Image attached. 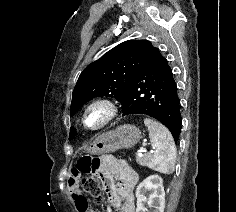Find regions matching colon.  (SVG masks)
<instances>
[{"instance_id": "colon-1", "label": "colon", "mask_w": 236, "mask_h": 212, "mask_svg": "<svg viewBox=\"0 0 236 212\" xmlns=\"http://www.w3.org/2000/svg\"><path fill=\"white\" fill-rule=\"evenodd\" d=\"M79 169H81L85 176L81 179V187L83 191L97 201L102 199V187L99 176L95 173V161L91 157H85L78 163Z\"/></svg>"}]
</instances>
